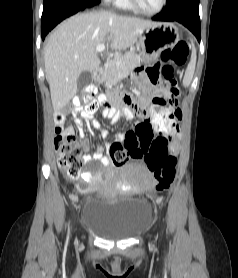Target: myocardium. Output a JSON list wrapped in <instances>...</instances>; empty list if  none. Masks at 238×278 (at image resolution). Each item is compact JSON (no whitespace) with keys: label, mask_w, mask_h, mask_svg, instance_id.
<instances>
[{"label":"myocardium","mask_w":238,"mask_h":278,"mask_svg":"<svg viewBox=\"0 0 238 278\" xmlns=\"http://www.w3.org/2000/svg\"><path fill=\"white\" fill-rule=\"evenodd\" d=\"M168 0H161L160 5L155 10H146L142 8L137 0H128L130 6L138 13L146 15V16H155L161 13L166 7Z\"/></svg>","instance_id":"obj_1"}]
</instances>
